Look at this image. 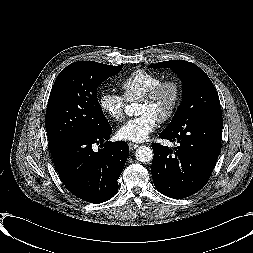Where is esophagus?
Returning <instances> with one entry per match:
<instances>
[{
  "mask_svg": "<svg viewBox=\"0 0 253 253\" xmlns=\"http://www.w3.org/2000/svg\"><path fill=\"white\" fill-rule=\"evenodd\" d=\"M138 146H139V145L136 144V143H133V142H130V143H129V148H130V150H135Z\"/></svg>",
  "mask_w": 253,
  "mask_h": 253,
  "instance_id": "34e87169",
  "label": "esophagus"
}]
</instances>
